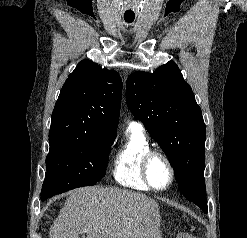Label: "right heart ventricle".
<instances>
[{
	"label": "right heart ventricle",
	"instance_id": "e07e8e85",
	"mask_svg": "<svg viewBox=\"0 0 247 238\" xmlns=\"http://www.w3.org/2000/svg\"><path fill=\"white\" fill-rule=\"evenodd\" d=\"M150 150V143L142 128L129 125L124 142L114 156L112 173L115 180L125 187L150 190L141 174L142 160Z\"/></svg>",
	"mask_w": 247,
	"mask_h": 238
}]
</instances>
